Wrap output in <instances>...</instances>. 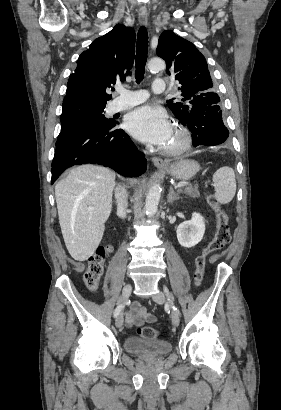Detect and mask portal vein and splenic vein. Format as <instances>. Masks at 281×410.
<instances>
[{
    "mask_svg": "<svg viewBox=\"0 0 281 410\" xmlns=\"http://www.w3.org/2000/svg\"><path fill=\"white\" fill-rule=\"evenodd\" d=\"M186 185H188V182H182V183L175 184L174 187L175 188H181V187L186 186Z\"/></svg>",
    "mask_w": 281,
    "mask_h": 410,
    "instance_id": "obj_1",
    "label": "portal vein and splenic vein"
}]
</instances>
